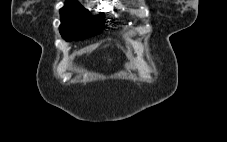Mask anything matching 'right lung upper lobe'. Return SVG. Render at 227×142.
I'll list each match as a JSON object with an SVG mask.
<instances>
[{"label": "right lung upper lobe", "mask_w": 227, "mask_h": 142, "mask_svg": "<svg viewBox=\"0 0 227 142\" xmlns=\"http://www.w3.org/2000/svg\"><path fill=\"white\" fill-rule=\"evenodd\" d=\"M67 2H76V0H67Z\"/></svg>", "instance_id": "right-lung-upper-lobe-1"}]
</instances>
